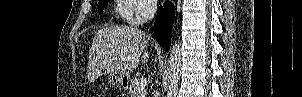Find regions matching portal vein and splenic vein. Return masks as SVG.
I'll return each instance as SVG.
<instances>
[{
	"instance_id": "18ae733b",
	"label": "portal vein and splenic vein",
	"mask_w": 302,
	"mask_h": 97,
	"mask_svg": "<svg viewBox=\"0 0 302 97\" xmlns=\"http://www.w3.org/2000/svg\"><path fill=\"white\" fill-rule=\"evenodd\" d=\"M147 86V80L145 78H141L138 82H137V88L139 90H144Z\"/></svg>"
}]
</instances>
